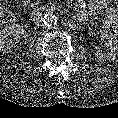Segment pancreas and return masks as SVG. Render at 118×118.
Instances as JSON below:
<instances>
[{"label": "pancreas", "instance_id": "pancreas-1", "mask_svg": "<svg viewBox=\"0 0 118 118\" xmlns=\"http://www.w3.org/2000/svg\"><path fill=\"white\" fill-rule=\"evenodd\" d=\"M47 8H51V9H53V5H51V6L47 5Z\"/></svg>", "mask_w": 118, "mask_h": 118}]
</instances>
